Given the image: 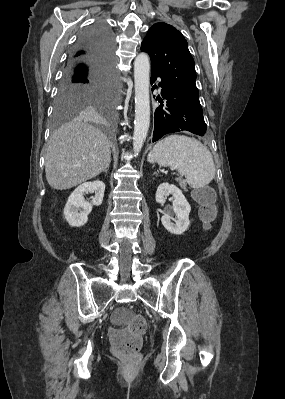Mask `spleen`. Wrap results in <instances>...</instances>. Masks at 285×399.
Wrapping results in <instances>:
<instances>
[{
  "instance_id": "3e777b00",
  "label": "spleen",
  "mask_w": 285,
  "mask_h": 399,
  "mask_svg": "<svg viewBox=\"0 0 285 399\" xmlns=\"http://www.w3.org/2000/svg\"><path fill=\"white\" fill-rule=\"evenodd\" d=\"M153 153L160 166L177 169L192 188H203L215 177L209 149L195 138L169 135L154 146Z\"/></svg>"
}]
</instances>
